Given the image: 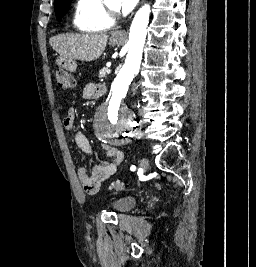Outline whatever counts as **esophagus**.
I'll list each match as a JSON object with an SVG mask.
<instances>
[{"instance_id":"1","label":"esophagus","mask_w":256,"mask_h":267,"mask_svg":"<svg viewBox=\"0 0 256 267\" xmlns=\"http://www.w3.org/2000/svg\"><path fill=\"white\" fill-rule=\"evenodd\" d=\"M144 2V0H142V3ZM126 35V32H118L117 36H125Z\"/></svg>"}]
</instances>
